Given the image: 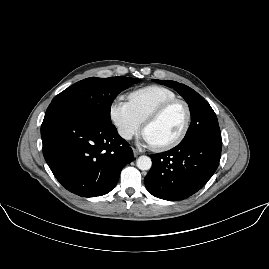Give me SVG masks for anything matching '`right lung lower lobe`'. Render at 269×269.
<instances>
[{"instance_id":"98d812e1","label":"right lung lower lobe","mask_w":269,"mask_h":269,"mask_svg":"<svg viewBox=\"0 0 269 269\" xmlns=\"http://www.w3.org/2000/svg\"><path fill=\"white\" fill-rule=\"evenodd\" d=\"M43 155L56 179L81 197L107 194L133 160L111 123L62 105H49L42 126Z\"/></svg>"}]
</instances>
